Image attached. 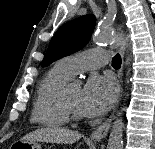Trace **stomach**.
Returning <instances> with one entry per match:
<instances>
[{
	"label": "stomach",
	"mask_w": 155,
	"mask_h": 149,
	"mask_svg": "<svg viewBox=\"0 0 155 149\" xmlns=\"http://www.w3.org/2000/svg\"><path fill=\"white\" fill-rule=\"evenodd\" d=\"M13 149H42L38 141H17L12 145Z\"/></svg>",
	"instance_id": "1"
}]
</instances>
